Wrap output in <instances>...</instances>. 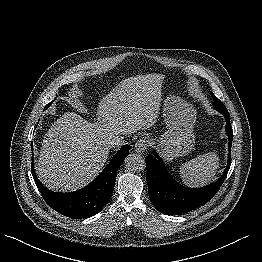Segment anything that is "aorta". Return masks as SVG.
Wrapping results in <instances>:
<instances>
[{"label":"aorta","instance_id":"obj_1","mask_svg":"<svg viewBox=\"0 0 262 262\" xmlns=\"http://www.w3.org/2000/svg\"><path fill=\"white\" fill-rule=\"evenodd\" d=\"M124 164L128 170L138 171L145 167V161L143 157L137 154H129L125 160Z\"/></svg>","mask_w":262,"mask_h":262}]
</instances>
